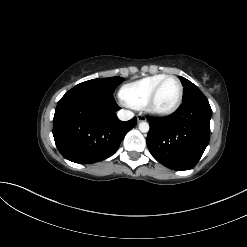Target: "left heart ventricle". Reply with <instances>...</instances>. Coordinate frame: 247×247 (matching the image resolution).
<instances>
[{
    "label": "left heart ventricle",
    "mask_w": 247,
    "mask_h": 247,
    "mask_svg": "<svg viewBox=\"0 0 247 247\" xmlns=\"http://www.w3.org/2000/svg\"><path fill=\"white\" fill-rule=\"evenodd\" d=\"M179 95V85L175 79L166 80L161 86L154 102L157 110H167L177 101Z\"/></svg>",
    "instance_id": "b2bd125f"
}]
</instances>
